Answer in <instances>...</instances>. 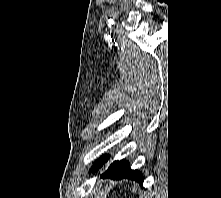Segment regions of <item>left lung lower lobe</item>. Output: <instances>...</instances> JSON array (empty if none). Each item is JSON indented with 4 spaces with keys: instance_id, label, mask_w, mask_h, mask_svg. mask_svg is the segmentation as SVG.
<instances>
[{
    "instance_id": "1",
    "label": "left lung lower lobe",
    "mask_w": 221,
    "mask_h": 198,
    "mask_svg": "<svg viewBox=\"0 0 221 198\" xmlns=\"http://www.w3.org/2000/svg\"><path fill=\"white\" fill-rule=\"evenodd\" d=\"M103 178L111 179H132L142 184L144 178L141 172L137 170H131L129 167V162L125 160L114 161L108 170L102 174Z\"/></svg>"
}]
</instances>
